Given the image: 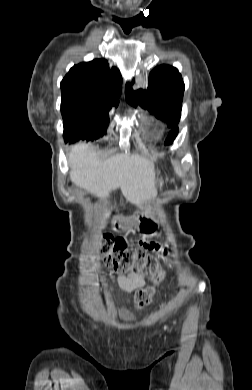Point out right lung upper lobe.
Segmentation results:
<instances>
[{"label":"right lung upper lobe","mask_w":252,"mask_h":390,"mask_svg":"<svg viewBox=\"0 0 252 390\" xmlns=\"http://www.w3.org/2000/svg\"><path fill=\"white\" fill-rule=\"evenodd\" d=\"M122 78L104 59L73 66L61 81V109L81 106H117Z\"/></svg>","instance_id":"right-lung-upper-lobe-1"}]
</instances>
